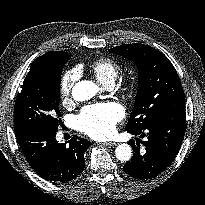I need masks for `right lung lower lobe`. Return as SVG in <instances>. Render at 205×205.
Instances as JSON below:
<instances>
[{"label":"right lung lower lobe","instance_id":"obj_1","mask_svg":"<svg viewBox=\"0 0 205 205\" xmlns=\"http://www.w3.org/2000/svg\"><path fill=\"white\" fill-rule=\"evenodd\" d=\"M56 133L42 128L15 131L20 148L32 169L48 181L65 183L83 172L84 152L91 142L74 136L69 145L58 143Z\"/></svg>","mask_w":205,"mask_h":205}]
</instances>
